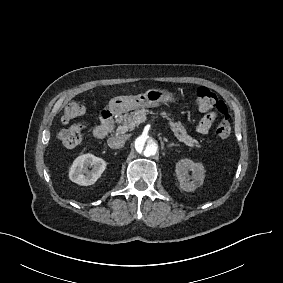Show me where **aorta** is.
Masks as SVG:
<instances>
[{
    "label": "aorta",
    "instance_id": "obj_1",
    "mask_svg": "<svg viewBox=\"0 0 283 283\" xmlns=\"http://www.w3.org/2000/svg\"><path fill=\"white\" fill-rule=\"evenodd\" d=\"M132 151L141 161L156 159L160 151V139L153 133L143 132L133 140Z\"/></svg>",
    "mask_w": 283,
    "mask_h": 283
}]
</instances>
